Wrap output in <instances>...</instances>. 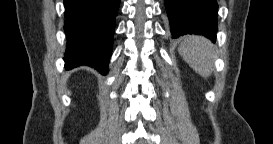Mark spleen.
Listing matches in <instances>:
<instances>
[{
    "instance_id": "spleen-1",
    "label": "spleen",
    "mask_w": 273,
    "mask_h": 144,
    "mask_svg": "<svg viewBox=\"0 0 273 144\" xmlns=\"http://www.w3.org/2000/svg\"><path fill=\"white\" fill-rule=\"evenodd\" d=\"M179 54L200 76L206 78L212 73L213 45L202 36H186L182 39Z\"/></svg>"
}]
</instances>
